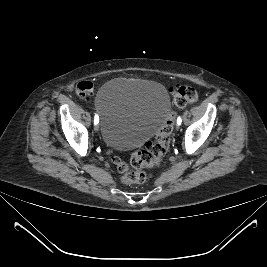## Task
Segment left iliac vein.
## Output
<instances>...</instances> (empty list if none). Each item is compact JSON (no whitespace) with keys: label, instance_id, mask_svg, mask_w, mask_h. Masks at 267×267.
<instances>
[{"label":"left iliac vein","instance_id":"1","mask_svg":"<svg viewBox=\"0 0 267 267\" xmlns=\"http://www.w3.org/2000/svg\"><path fill=\"white\" fill-rule=\"evenodd\" d=\"M179 128H180V125L176 124V129L179 130Z\"/></svg>","mask_w":267,"mask_h":267}]
</instances>
